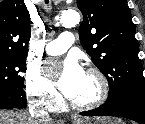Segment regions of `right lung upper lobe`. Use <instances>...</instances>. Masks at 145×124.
<instances>
[{"label": "right lung upper lobe", "mask_w": 145, "mask_h": 124, "mask_svg": "<svg viewBox=\"0 0 145 124\" xmlns=\"http://www.w3.org/2000/svg\"><path fill=\"white\" fill-rule=\"evenodd\" d=\"M30 15L23 0L0 2V54L27 57Z\"/></svg>", "instance_id": "obj_1"}]
</instances>
